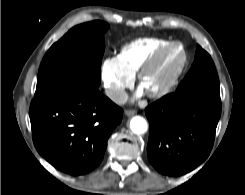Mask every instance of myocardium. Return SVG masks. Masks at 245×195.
<instances>
[{"label": "myocardium", "instance_id": "1", "mask_svg": "<svg viewBox=\"0 0 245 195\" xmlns=\"http://www.w3.org/2000/svg\"><path fill=\"white\" fill-rule=\"evenodd\" d=\"M178 48L181 52V59L172 71L167 80L157 89L151 91H144L150 98H161L172 90L177 83L182 72L187 64V53L184 46L179 42H170L167 45L155 51L138 69L136 73V80L138 86L141 88L144 77L159 63V61L172 49ZM142 89V88H141Z\"/></svg>", "mask_w": 245, "mask_h": 195}]
</instances>
